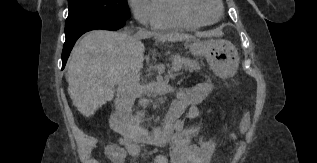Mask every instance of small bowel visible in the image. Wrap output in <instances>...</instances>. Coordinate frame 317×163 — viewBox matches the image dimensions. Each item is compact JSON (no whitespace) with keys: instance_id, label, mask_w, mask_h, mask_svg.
Here are the masks:
<instances>
[{"instance_id":"c3829d8e","label":"small bowel","mask_w":317,"mask_h":163,"mask_svg":"<svg viewBox=\"0 0 317 163\" xmlns=\"http://www.w3.org/2000/svg\"><path fill=\"white\" fill-rule=\"evenodd\" d=\"M210 84L202 83L187 88L178 94L177 100L173 104L170 112L177 115L175 122V134L170 140V160L163 155H158L152 159V163H210L215 144L210 140L194 139L197 135V127L187 129L183 120L178 119V115L188 108V119H195L199 116V104L210 93ZM247 121V116L243 118V124ZM107 155L113 163H126L131 157L141 156L140 147L137 144L129 145L123 149L121 155L113 156L107 148Z\"/></svg>"}]
</instances>
